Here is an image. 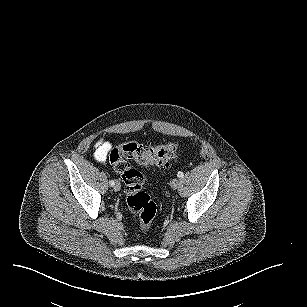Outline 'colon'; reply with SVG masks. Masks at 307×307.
<instances>
[{"label": "colon", "instance_id": "5ec220e1", "mask_svg": "<svg viewBox=\"0 0 307 307\" xmlns=\"http://www.w3.org/2000/svg\"><path fill=\"white\" fill-rule=\"evenodd\" d=\"M176 152L177 143L175 142L148 146L131 141L113 148L109 153L110 163L125 184L128 208L138 215L142 232L149 231L157 213V206L142 190L144 178L139 171L131 167L129 160H134L143 166L165 168L175 159Z\"/></svg>", "mask_w": 307, "mask_h": 307}]
</instances>
